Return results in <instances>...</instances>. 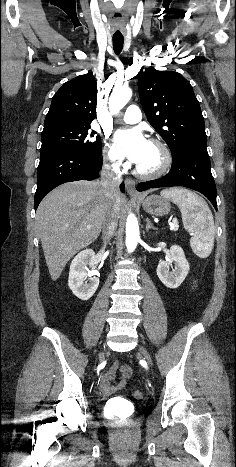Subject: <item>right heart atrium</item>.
I'll use <instances>...</instances> for the list:
<instances>
[{
  "mask_svg": "<svg viewBox=\"0 0 236 467\" xmlns=\"http://www.w3.org/2000/svg\"><path fill=\"white\" fill-rule=\"evenodd\" d=\"M103 155L106 164L113 170H120L123 167V162L118 156L117 151L114 146L108 141L105 140Z\"/></svg>",
  "mask_w": 236,
  "mask_h": 467,
  "instance_id": "d8ad5b80",
  "label": "right heart atrium"
}]
</instances>
